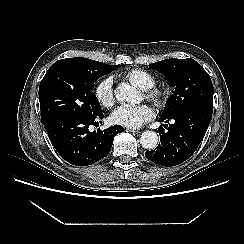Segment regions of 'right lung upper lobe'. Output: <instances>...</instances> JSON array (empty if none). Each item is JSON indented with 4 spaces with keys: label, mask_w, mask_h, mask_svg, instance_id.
<instances>
[{
    "label": "right lung upper lobe",
    "mask_w": 244,
    "mask_h": 244,
    "mask_svg": "<svg viewBox=\"0 0 244 244\" xmlns=\"http://www.w3.org/2000/svg\"><path fill=\"white\" fill-rule=\"evenodd\" d=\"M71 59H75V60L80 61V62H90V61H94V60H91V59H87V58H79V57H75V58H71Z\"/></svg>",
    "instance_id": "1"
}]
</instances>
